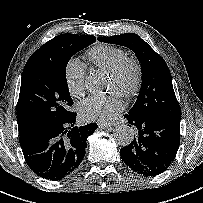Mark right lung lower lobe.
Masks as SVG:
<instances>
[{"mask_svg":"<svg viewBox=\"0 0 203 203\" xmlns=\"http://www.w3.org/2000/svg\"><path fill=\"white\" fill-rule=\"evenodd\" d=\"M76 113L61 121L19 135L28 166L40 177L60 180L72 173L85 156L87 137L96 123L74 126Z\"/></svg>","mask_w":203,"mask_h":203,"instance_id":"obj_1","label":"right lung lower lobe"}]
</instances>
